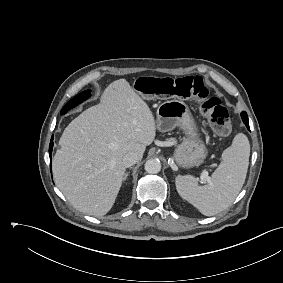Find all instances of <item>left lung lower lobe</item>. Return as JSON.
Returning <instances> with one entry per match:
<instances>
[{"label":"left lung lower lobe","mask_w":283,"mask_h":283,"mask_svg":"<svg viewBox=\"0 0 283 283\" xmlns=\"http://www.w3.org/2000/svg\"><path fill=\"white\" fill-rule=\"evenodd\" d=\"M241 117H242V120H243V122L245 123L247 129L250 130V128H249L248 116H247V113H246L245 111H243V112L241 113Z\"/></svg>","instance_id":"obj_1"}]
</instances>
